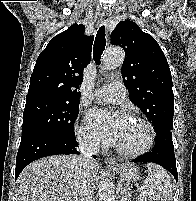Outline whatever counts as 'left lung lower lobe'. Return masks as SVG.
Instances as JSON below:
<instances>
[{"instance_id": "left-lung-lower-lobe-1", "label": "left lung lower lobe", "mask_w": 196, "mask_h": 201, "mask_svg": "<svg viewBox=\"0 0 196 201\" xmlns=\"http://www.w3.org/2000/svg\"><path fill=\"white\" fill-rule=\"evenodd\" d=\"M135 163L152 162L163 166L178 180L172 132H165L156 135L155 146L152 152L141 155L133 160Z\"/></svg>"}]
</instances>
